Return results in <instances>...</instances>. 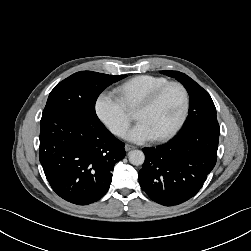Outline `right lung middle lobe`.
<instances>
[{"label": "right lung middle lobe", "mask_w": 251, "mask_h": 251, "mask_svg": "<svg viewBox=\"0 0 251 251\" xmlns=\"http://www.w3.org/2000/svg\"><path fill=\"white\" fill-rule=\"evenodd\" d=\"M126 75L80 71L61 81L49 94L42 117L60 111H75L98 119L95 103L100 93Z\"/></svg>", "instance_id": "obj_1"}]
</instances>
